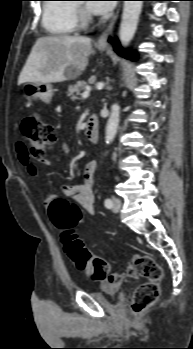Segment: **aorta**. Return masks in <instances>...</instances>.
<instances>
[{
	"instance_id": "aorta-1",
	"label": "aorta",
	"mask_w": 193,
	"mask_h": 349,
	"mask_svg": "<svg viewBox=\"0 0 193 349\" xmlns=\"http://www.w3.org/2000/svg\"><path fill=\"white\" fill-rule=\"evenodd\" d=\"M143 1H124L122 19L119 30L121 45L126 47L134 37L137 29ZM120 121V106L115 103L111 107V113L106 125L105 142L110 144L117 133Z\"/></svg>"
}]
</instances>
